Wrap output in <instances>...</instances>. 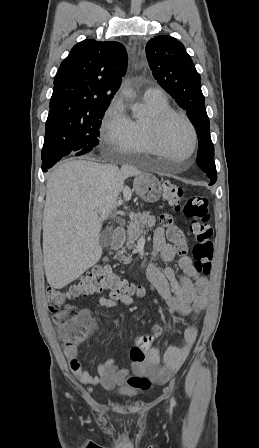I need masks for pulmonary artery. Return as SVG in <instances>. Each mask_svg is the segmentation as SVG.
Segmentation results:
<instances>
[{"mask_svg":"<svg viewBox=\"0 0 259 448\" xmlns=\"http://www.w3.org/2000/svg\"><path fill=\"white\" fill-rule=\"evenodd\" d=\"M146 93L149 95H152V96H164L165 95L164 90L158 86L149 88L146 91Z\"/></svg>","mask_w":259,"mask_h":448,"instance_id":"obj_1","label":"pulmonary artery"}]
</instances>
